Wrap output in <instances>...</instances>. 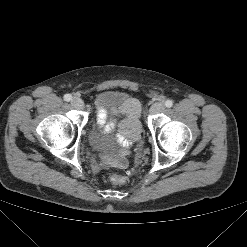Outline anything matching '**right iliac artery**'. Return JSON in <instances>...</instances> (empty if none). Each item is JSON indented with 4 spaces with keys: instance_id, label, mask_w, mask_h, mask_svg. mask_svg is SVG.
<instances>
[{
    "instance_id": "1",
    "label": "right iliac artery",
    "mask_w": 247,
    "mask_h": 247,
    "mask_svg": "<svg viewBox=\"0 0 247 247\" xmlns=\"http://www.w3.org/2000/svg\"><path fill=\"white\" fill-rule=\"evenodd\" d=\"M72 99V96L70 94H65L64 95V100L65 101H70Z\"/></svg>"
}]
</instances>
